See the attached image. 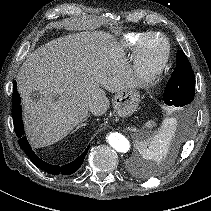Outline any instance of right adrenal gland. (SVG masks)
<instances>
[{"mask_svg": "<svg viewBox=\"0 0 211 211\" xmlns=\"http://www.w3.org/2000/svg\"><path fill=\"white\" fill-rule=\"evenodd\" d=\"M89 117V115L84 119L83 123L79 124L76 129L74 131H77L79 128L83 127V126H86V123L85 121L87 120V118Z\"/></svg>", "mask_w": 211, "mask_h": 211, "instance_id": "obj_1", "label": "right adrenal gland"}]
</instances>
